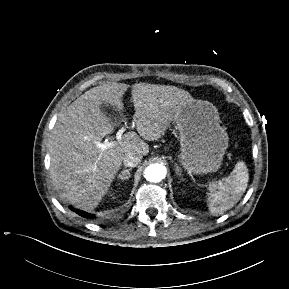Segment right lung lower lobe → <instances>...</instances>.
Returning a JSON list of instances; mask_svg holds the SVG:
<instances>
[{
    "label": "right lung lower lobe",
    "instance_id": "1",
    "mask_svg": "<svg viewBox=\"0 0 289 289\" xmlns=\"http://www.w3.org/2000/svg\"><path fill=\"white\" fill-rule=\"evenodd\" d=\"M72 211H75L78 215L85 217V218H94L92 214L80 211V210H75L73 207H69Z\"/></svg>",
    "mask_w": 289,
    "mask_h": 289
}]
</instances>
